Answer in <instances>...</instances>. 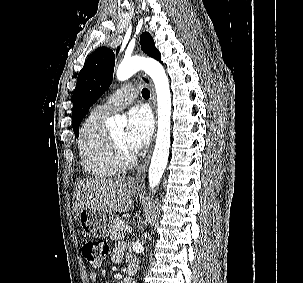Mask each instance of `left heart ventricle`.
I'll return each instance as SVG.
<instances>
[{"label":"left heart ventricle","instance_id":"left-heart-ventricle-1","mask_svg":"<svg viewBox=\"0 0 303 283\" xmlns=\"http://www.w3.org/2000/svg\"><path fill=\"white\" fill-rule=\"evenodd\" d=\"M111 134L114 137V139L118 142V144L123 148V150H125L128 153H131L127 149V147L125 146V143H124V129L123 128L114 130L113 132H111Z\"/></svg>","mask_w":303,"mask_h":283}]
</instances>
